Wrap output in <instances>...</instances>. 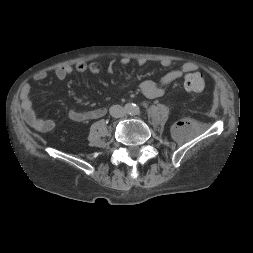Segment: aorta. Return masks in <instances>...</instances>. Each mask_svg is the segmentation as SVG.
Masks as SVG:
<instances>
[{
	"mask_svg": "<svg viewBox=\"0 0 253 253\" xmlns=\"http://www.w3.org/2000/svg\"><path fill=\"white\" fill-rule=\"evenodd\" d=\"M126 112L130 115H136L139 113V107L132 103H128L125 105Z\"/></svg>",
	"mask_w": 253,
	"mask_h": 253,
	"instance_id": "1",
	"label": "aorta"
}]
</instances>
